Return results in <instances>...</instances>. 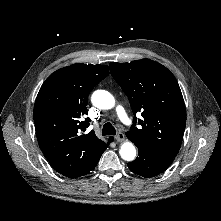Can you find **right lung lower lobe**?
Here are the masks:
<instances>
[{
	"label": "right lung lower lobe",
	"mask_w": 221,
	"mask_h": 221,
	"mask_svg": "<svg viewBox=\"0 0 221 221\" xmlns=\"http://www.w3.org/2000/svg\"><path fill=\"white\" fill-rule=\"evenodd\" d=\"M112 140H113V137L110 138V141H112ZM107 146H108V145H107ZM106 148H107V147H106ZM104 151H105V150H104ZM104 151H103V152H104ZM103 152H102V153H103ZM102 153H101L97 158H95V159L92 161L91 165L86 169V171H85L81 176L88 174L91 170H93V169L95 168V166L97 165V163H98L99 160H100V157H101Z\"/></svg>",
	"instance_id": "obj_1"
}]
</instances>
